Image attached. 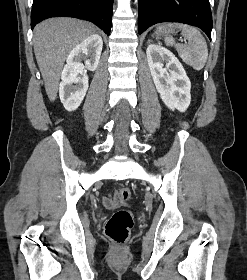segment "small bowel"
<instances>
[{"instance_id":"1","label":"small bowel","mask_w":247,"mask_h":280,"mask_svg":"<svg viewBox=\"0 0 247 280\" xmlns=\"http://www.w3.org/2000/svg\"><path fill=\"white\" fill-rule=\"evenodd\" d=\"M103 204L107 207V208H114L116 207L117 205H119L120 203H118L116 200H115V195L114 193L112 194H109L107 196H105L103 198Z\"/></svg>"}]
</instances>
